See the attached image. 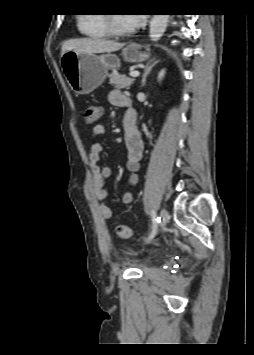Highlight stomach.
<instances>
[{
  "label": "stomach",
  "instance_id": "obj_1",
  "mask_svg": "<svg viewBox=\"0 0 254 355\" xmlns=\"http://www.w3.org/2000/svg\"><path fill=\"white\" fill-rule=\"evenodd\" d=\"M122 56L125 61L136 63L149 58L136 44L127 45ZM62 69L71 89L78 94H89L105 80L108 70L120 66V59L114 54L96 55L67 51L61 56Z\"/></svg>",
  "mask_w": 254,
  "mask_h": 355
}]
</instances>
